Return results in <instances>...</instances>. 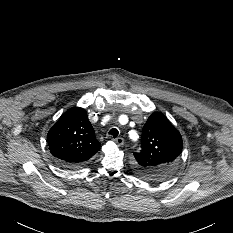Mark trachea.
Returning a JSON list of instances; mask_svg holds the SVG:
<instances>
[{"label":"trachea","mask_w":233,"mask_h":233,"mask_svg":"<svg viewBox=\"0 0 233 233\" xmlns=\"http://www.w3.org/2000/svg\"><path fill=\"white\" fill-rule=\"evenodd\" d=\"M109 134L111 136H113L114 138H116L119 134V131L116 129V128H112L110 131H109Z\"/></svg>","instance_id":"1"}]
</instances>
